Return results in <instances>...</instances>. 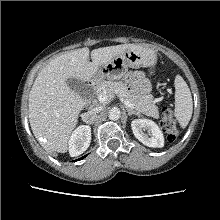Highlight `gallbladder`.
Wrapping results in <instances>:
<instances>
[{
	"label": "gallbladder",
	"instance_id": "1",
	"mask_svg": "<svg viewBox=\"0 0 220 220\" xmlns=\"http://www.w3.org/2000/svg\"><path fill=\"white\" fill-rule=\"evenodd\" d=\"M67 84L72 90H74L80 96L85 97L87 95L89 87L86 83L75 78H70L68 79Z\"/></svg>",
	"mask_w": 220,
	"mask_h": 220
}]
</instances>
